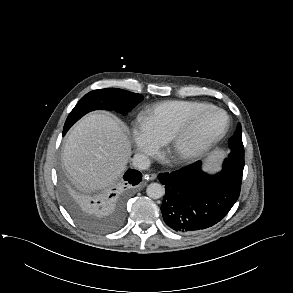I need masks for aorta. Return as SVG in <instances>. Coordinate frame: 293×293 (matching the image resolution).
Instances as JSON below:
<instances>
[{
    "label": "aorta",
    "instance_id": "obj_1",
    "mask_svg": "<svg viewBox=\"0 0 293 293\" xmlns=\"http://www.w3.org/2000/svg\"><path fill=\"white\" fill-rule=\"evenodd\" d=\"M164 187L159 183H151L147 186L146 194L152 199H159L164 195Z\"/></svg>",
    "mask_w": 293,
    "mask_h": 293
}]
</instances>
